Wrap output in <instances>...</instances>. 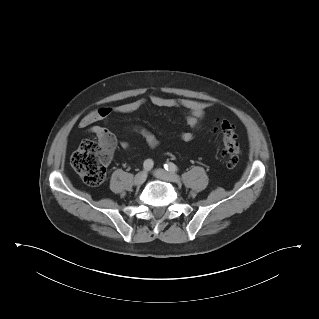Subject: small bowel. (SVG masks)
I'll list each match as a JSON object with an SVG mask.
<instances>
[{"label":"small bowel","instance_id":"obj_1","mask_svg":"<svg viewBox=\"0 0 319 319\" xmlns=\"http://www.w3.org/2000/svg\"><path fill=\"white\" fill-rule=\"evenodd\" d=\"M147 103L158 107H179L186 111V121L190 130L182 131L180 134L184 142H190L194 139V132L201 127L206 110L210 107V103L197 101L192 99H174L167 98L160 95H150L147 99L140 98L117 106L102 107L85 114L80 120V126L87 128V132L95 135L98 139H102L107 135L111 136L108 128L95 125L97 122H108L111 115L117 114H130L140 109ZM134 131L139 133L149 147L156 148L159 146L160 141L157 135L146 127H134ZM120 146L123 150L129 151L130 145L126 141H121Z\"/></svg>","mask_w":319,"mask_h":319}]
</instances>
